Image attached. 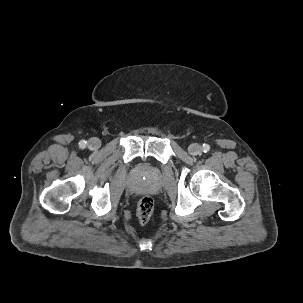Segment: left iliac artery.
Segmentation results:
<instances>
[{
	"label": "left iliac artery",
	"instance_id": "44dca946",
	"mask_svg": "<svg viewBox=\"0 0 303 303\" xmlns=\"http://www.w3.org/2000/svg\"><path fill=\"white\" fill-rule=\"evenodd\" d=\"M202 150H203V152L206 153V152H208L210 150V146L208 144H203Z\"/></svg>",
	"mask_w": 303,
	"mask_h": 303
}]
</instances>
